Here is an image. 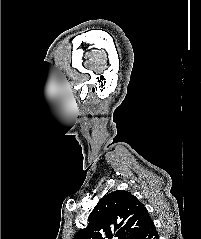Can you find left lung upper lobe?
Returning a JSON list of instances; mask_svg holds the SVG:
<instances>
[{
	"mask_svg": "<svg viewBox=\"0 0 201 239\" xmlns=\"http://www.w3.org/2000/svg\"><path fill=\"white\" fill-rule=\"evenodd\" d=\"M151 220L147 209L130 192L106 194L88 217L86 228L73 239H133Z\"/></svg>",
	"mask_w": 201,
	"mask_h": 239,
	"instance_id": "5c2ea615",
	"label": "left lung upper lobe"
}]
</instances>
